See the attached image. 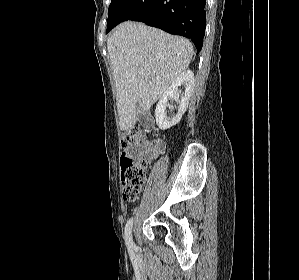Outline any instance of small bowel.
<instances>
[{
	"label": "small bowel",
	"mask_w": 299,
	"mask_h": 280,
	"mask_svg": "<svg viewBox=\"0 0 299 280\" xmlns=\"http://www.w3.org/2000/svg\"><path fill=\"white\" fill-rule=\"evenodd\" d=\"M165 149V142L162 139H156L145 143L136 149L139 157L149 158L151 155L161 154Z\"/></svg>",
	"instance_id": "small-bowel-1"
}]
</instances>
